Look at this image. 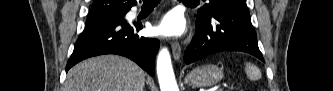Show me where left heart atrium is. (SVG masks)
<instances>
[{"instance_id":"39dd6f15","label":"left heart atrium","mask_w":333,"mask_h":91,"mask_svg":"<svg viewBox=\"0 0 333 91\" xmlns=\"http://www.w3.org/2000/svg\"><path fill=\"white\" fill-rule=\"evenodd\" d=\"M184 30L183 18L179 14L169 13L154 28V34L160 37H178Z\"/></svg>"}]
</instances>
